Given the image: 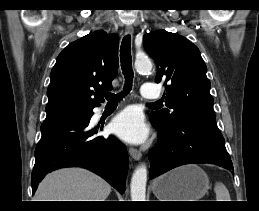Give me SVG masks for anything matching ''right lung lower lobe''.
Here are the masks:
<instances>
[{
    "label": "right lung lower lobe",
    "instance_id": "obj_1",
    "mask_svg": "<svg viewBox=\"0 0 259 211\" xmlns=\"http://www.w3.org/2000/svg\"><path fill=\"white\" fill-rule=\"evenodd\" d=\"M92 115L91 111L43 122L42 136L35 150L32 194L47 173L72 166L89 169L120 193L125 192L128 170L126 147L112 136H96L97 129L89 127Z\"/></svg>",
    "mask_w": 259,
    "mask_h": 211
}]
</instances>
